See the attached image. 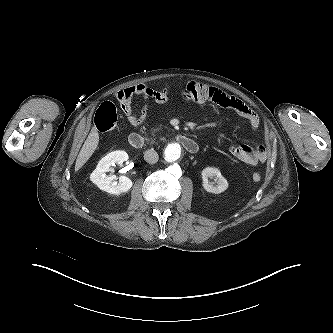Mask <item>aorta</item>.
Masks as SVG:
<instances>
[{
	"label": "aorta",
	"instance_id": "obj_1",
	"mask_svg": "<svg viewBox=\"0 0 333 333\" xmlns=\"http://www.w3.org/2000/svg\"><path fill=\"white\" fill-rule=\"evenodd\" d=\"M182 150L178 143H171L167 145L164 150V158L168 162H175L181 158Z\"/></svg>",
	"mask_w": 333,
	"mask_h": 333
}]
</instances>
